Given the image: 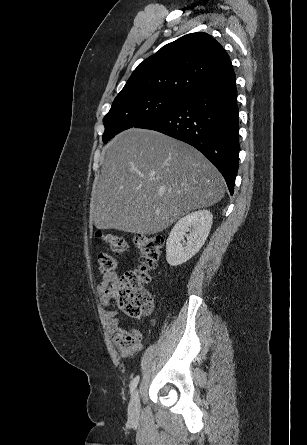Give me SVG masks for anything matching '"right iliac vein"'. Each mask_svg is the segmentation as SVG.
I'll list each match as a JSON object with an SVG mask.
<instances>
[{
    "mask_svg": "<svg viewBox=\"0 0 307 445\" xmlns=\"http://www.w3.org/2000/svg\"><path fill=\"white\" fill-rule=\"evenodd\" d=\"M140 413V401H139V392L136 390L130 400V404L128 407V415L130 420L135 421L138 419Z\"/></svg>",
    "mask_w": 307,
    "mask_h": 445,
    "instance_id": "1",
    "label": "right iliac vein"
}]
</instances>
